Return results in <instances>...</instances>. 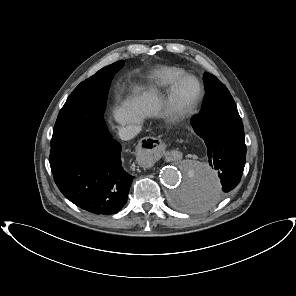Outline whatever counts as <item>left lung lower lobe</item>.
<instances>
[{"instance_id":"0a47b994","label":"left lung lower lobe","mask_w":296,"mask_h":296,"mask_svg":"<svg viewBox=\"0 0 296 296\" xmlns=\"http://www.w3.org/2000/svg\"><path fill=\"white\" fill-rule=\"evenodd\" d=\"M192 126L205 143L209 164L218 172L221 186L216 192H208L189 180L179 193V205L203 211L224 198L241 180L246 158L244 128L231 95L205 100L202 111L192 118Z\"/></svg>"}]
</instances>
